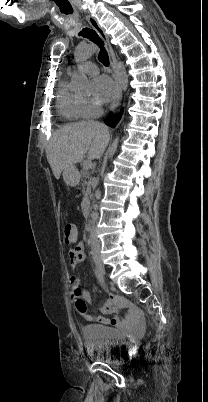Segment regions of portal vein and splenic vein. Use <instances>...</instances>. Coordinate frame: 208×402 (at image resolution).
Masks as SVG:
<instances>
[{
    "mask_svg": "<svg viewBox=\"0 0 208 402\" xmlns=\"http://www.w3.org/2000/svg\"><path fill=\"white\" fill-rule=\"evenodd\" d=\"M82 166H83V170H89V168H92L91 160H84Z\"/></svg>",
    "mask_w": 208,
    "mask_h": 402,
    "instance_id": "1",
    "label": "portal vein and splenic vein"
}]
</instances>
